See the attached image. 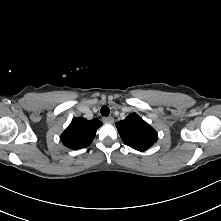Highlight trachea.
I'll use <instances>...</instances> for the list:
<instances>
[{"instance_id":"3493384b","label":"trachea","mask_w":221,"mask_h":221,"mask_svg":"<svg viewBox=\"0 0 221 221\" xmlns=\"http://www.w3.org/2000/svg\"><path fill=\"white\" fill-rule=\"evenodd\" d=\"M100 112L102 116H108L110 114V109L108 108V106L104 105L101 107Z\"/></svg>"}]
</instances>
